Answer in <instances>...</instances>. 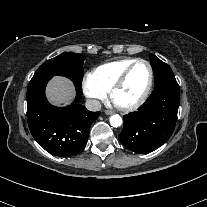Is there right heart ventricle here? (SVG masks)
I'll return each mask as SVG.
<instances>
[{
  "label": "right heart ventricle",
  "mask_w": 207,
  "mask_h": 207,
  "mask_svg": "<svg viewBox=\"0 0 207 207\" xmlns=\"http://www.w3.org/2000/svg\"><path fill=\"white\" fill-rule=\"evenodd\" d=\"M134 60L132 58H124L104 63L92 71L91 77L105 92H108L122 72Z\"/></svg>",
  "instance_id": "right-heart-ventricle-1"
}]
</instances>
